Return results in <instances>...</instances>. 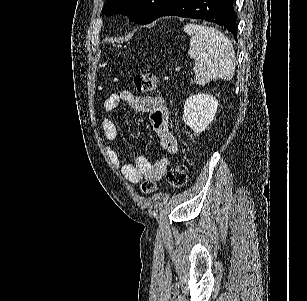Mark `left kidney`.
<instances>
[{"instance_id":"1","label":"left kidney","mask_w":307,"mask_h":301,"mask_svg":"<svg viewBox=\"0 0 307 301\" xmlns=\"http://www.w3.org/2000/svg\"><path fill=\"white\" fill-rule=\"evenodd\" d=\"M218 100L212 94H191L184 104L183 120L193 132H203L217 112Z\"/></svg>"}]
</instances>
